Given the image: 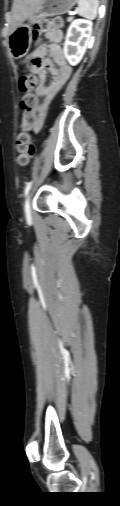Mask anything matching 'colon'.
Wrapping results in <instances>:
<instances>
[{"label":"colon","mask_w":120,"mask_h":506,"mask_svg":"<svg viewBox=\"0 0 120 506\" xmlns=\"http://www.w3.org/2000/svg\"><path fill=\"white\" fill-rule=\"evenodd\" d=\"M62 26V19L60 17L41 18L34 24V35L37 37L42 33H49L58 30ZM24 63V61H23ZM37 84V79L34 75L26 74L20 78V87L24 93L22 99V117H21V130L16 138L17 148V162L21 166L29 164L33 157V139L31 136V128L36 122L34 114L37 105V97L34 89Z\"/></svg>","instance_id":"5ec220e1"}]
</instances>
